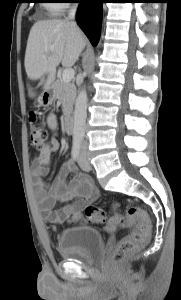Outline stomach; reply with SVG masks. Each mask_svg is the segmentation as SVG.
Returning a JSON list of instances; mask_svg holds the SVG:
<instances>
[{"label": "stomach", "instance_id": "0dacf381", "mask_svg": "<svg viewBox=\"0 0 181 300\" xmlns=\"http://www.w3.org/2000/svg\"><path fill=\"white\" fill-rule=\"evenodd\" d=\"M55 98L54 88L51 87L41 93V95L36 99L35 105L36 107H47L54 102Z\"/></svg>", "mask_w": 181, "mask_h": 300}]
</instances>
